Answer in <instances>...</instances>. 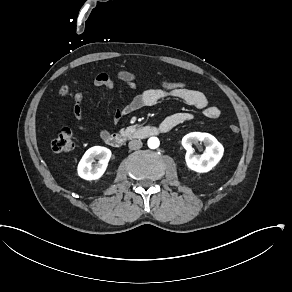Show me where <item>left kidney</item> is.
Here are the masks:
<instances>
[{"mask_svg":"<svg viewBox=\"0 0 292 292\" xmlns=\"http://www.w3.org/2000/svg\"><path fill=\"white\" fill-rule=\"evenodd\" d=\"M202 142L206 147L203 154H193V144ZM187 150L185 157L188 169L197 173H207L215 167L224 154L223 145L211 134L192 132L185 135L181 141Z\"/></svg>","mask_w":292,"mask_h":292,"instance_id":"left-kidney-1","label":"left kidney"}]
</instances>
